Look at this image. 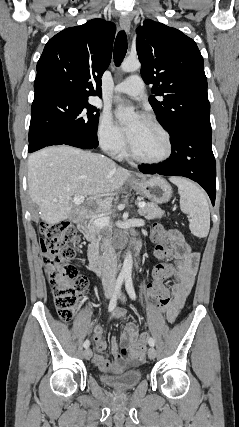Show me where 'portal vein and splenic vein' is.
I'll use <instances>...</instances> for the list:
<instances>
[{
	"label": "portal vein and splenic vein",
	"mask_w": 239,
	"mask_h": 427,
	"mask_svg": "<svg viewBox=\"0 0 239 427\" xmlns=\"http://www.w3.org/2000/svg\"><path fill=\"white\" fill-rule=\"evenodd\" d=\"M83 200H84L83 196L73 198V201L75 204H80L83 202ZM145 205H146L145 202L138 203L139 209L145 207ZM109 224H110V217H101L93 220V226L95 227H105V226H109Z\"/></svg>",
	"instance_id": "18ae733b"
}]
</instances>
